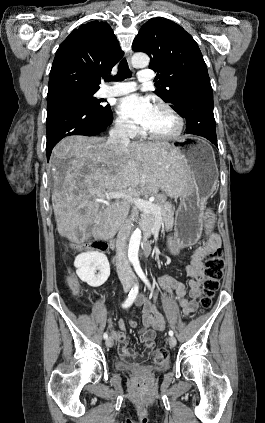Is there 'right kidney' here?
Masks as SVG:
<instances>
[{
    "mask_svg": "<svg viewBox=\"0 0 265 423\" xmlns=\"http://www.w3.org/2000/svg\"><path fill=\"white\" fill-rule=\"evenodd\" d=\"M74 266L78 277L91 287L103 285L110 275V265L106 255L99 251L79 254L75 258ZM99 271L96 274V271Z\"/></svg>",
    "mask_w": 265,
    "mask_h": 423,
    "instance_id": "ca27d5eb",
    "label": "right kidney"
}]
</instances>
